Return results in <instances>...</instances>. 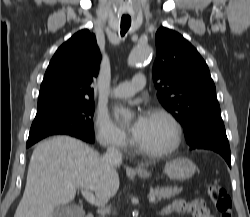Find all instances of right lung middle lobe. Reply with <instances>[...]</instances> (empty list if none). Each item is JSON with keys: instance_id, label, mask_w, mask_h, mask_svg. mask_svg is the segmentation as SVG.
<instances>
[{"instance_id": "right-lung-middle-lobe-1", "label": "right lung middle lobe", "mask_w": 250, "mask_h": 217, "mask_svg": "<svg viewBox=\"0 0 250 217\" xmlns=\"http://www.w3.org/2000/svg\"><path fill=\"white\" fill-rule=\"evenodd\" d=\"M94 102L78 101L37 111L26 147L51 135L65 134L94 142Z\"/></svg>"}]
</instances>
